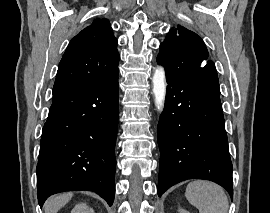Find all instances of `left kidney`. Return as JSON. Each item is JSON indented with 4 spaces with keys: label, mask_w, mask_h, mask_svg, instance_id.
<instances>
[{
    "label": "left kidney",
    "mask_w": 270,
    "mask_h": 213,
    "mask_svg": "<svg viewBox=\"0 0 270 213\" xmlns=\"http://www.w3.org/2000/svg\"><path fill=\"white\" fill-rule=\"evenodd\" d=\"M180 213H190V212H188L187 210L182 209V210H180Z\"/></svg>",
    "instance_id": "left-kidney-1"
}]
</instances>
